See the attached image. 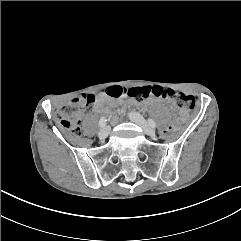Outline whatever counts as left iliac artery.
<instances>
[{
	"label": "left iliac artery",
	"instance_id": "44dca946",
	"mask_svg": "<svg viewBox=\"0 0 241 241\" xmlns=\"http://www.w3.org/2000/svg\"><path fill=\"white\" fill-rule=\"evenodd\" d=\"M148 124H149L151 127H153V128L156 127V123H155V121L152 120V119H148Z\"/></svg>",
	"mask_w": 241,
	"mask_h": 241
}]
</instances>
